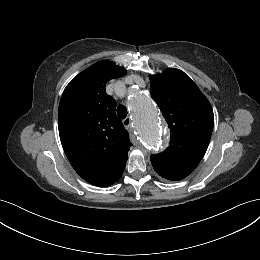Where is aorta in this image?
Listing matches in <instances>:
<instances>
[{"label": "aorta", "mask_w": 260, "mask_h": 260, "mask_svg": "<svg viewBox=\"0 0 260 260\" xmlns=\"http://www.w3.org/2000/svg\"><path fill=\"white\" fill-rule=\"evenodd\" d=\"M130 107L135 121V131L144 146L152 153L161 151L166 141L162 135L152 101L139 90L133 89Z\"/></svg>", "instance_id": "aorta-1"}]
</instances>
